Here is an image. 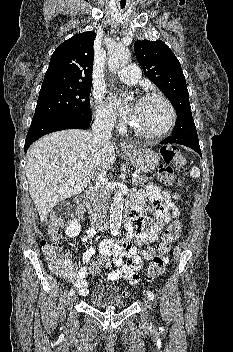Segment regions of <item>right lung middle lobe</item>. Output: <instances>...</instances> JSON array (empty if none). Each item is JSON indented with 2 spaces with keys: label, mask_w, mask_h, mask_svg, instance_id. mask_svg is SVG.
Listing matches in <instances>:
<instances>
[{
  "label": "right lung middle lobe",
  "mask_w": 233,
  "mask_h": 352,
  "mask_svg": "<svg viewBox=\"0 0 233 352\" xmlns=\"http://www.w3.org/2000/svg\"><path fill=\"white\" fill-rule=\"evenodd\" d=\"M91 85L41 87L33 119L90 111Z\"/></svg>",
  "instance_id": "obj_1"
}]
</instances>
